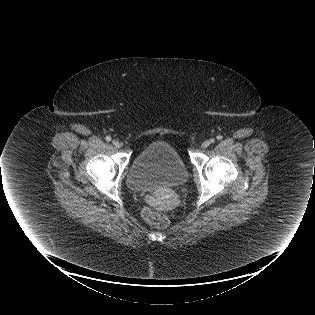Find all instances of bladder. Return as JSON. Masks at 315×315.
I'll return each mask as SVG.
<instances>
[{"label":"bladder","mask_w":315,"mask_h":315,"mask_svg":"<svg viewBox=\"0 0 315 315\" xmlns=\"http://www.w3.org/2000/svg\"><path fill=\"white\" fill-rule=\"evenodd\" d=\"M188 179L187 167L169 143L156 141L143 148L132 160L127 182L135 191L180 187Z\"/></svg>","instance_id":"31cf9c89"}]
</instances>
